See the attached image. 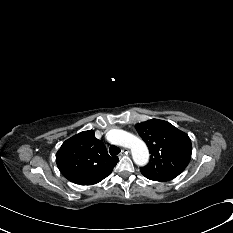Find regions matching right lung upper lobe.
Returning a JSON list of instances; mask_svg holds the SVG:
<instances>
[{
  "label": "right lung upper lobe",
  "instance_id": "1",
  "mask_svg": "<svg viewBox=\"0 0 233 233\" xmlns=\"http://www.w3.org/2000/svg\"><path fill=\"white\" fill-rule=\"evenodd\" d=\"M118 157H110L94 131L80 132L66 140L56 154V163L65 178L79 185H93L106 178Z\"/></svg>",
  "mask_w": 233,
  "mask_h": 233
}]
</instances>
